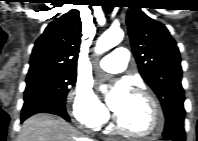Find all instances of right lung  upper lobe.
Segmentation results:
<instances>
[{
	"label": "right lung upper lobe",
	"mask_w": 198,
	"mask_h": 141,
	"mask_svg": "<svg viewBox=\"0 0 198 141\" xmlns=\"http://www.w3.org/2000/svg\"><path fill=\"white\" fill-rule=\"evenodd\" d=\"M81 27L78 10H70L51 22L35 42L29 72L41 70L76 72Z\"/></svg>",
	"instance_id": "1"
}]
</instances>
